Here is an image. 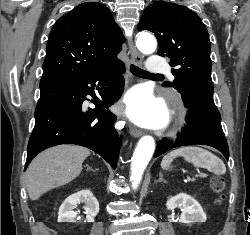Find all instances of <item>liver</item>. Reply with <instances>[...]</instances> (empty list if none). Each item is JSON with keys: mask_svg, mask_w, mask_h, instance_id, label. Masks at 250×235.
Segmentation results:
<instances>
[{"mask_svg": "<svg viewBox=\"0 0 250 235\" xmlns=\"http://www.w3.org/2000/svg\"><path fill=\"white\" fill-rule=\"evenodd\" d=\"M89 155L88 149L74 145H60L40 153L25 175L30 199L37 200L47 191L71 182L81 173Z\"/></svg>", "mask_w": 250, "mask_h": 235, "instance_id": "obj_1", "label": "liver"}]
</instances>
